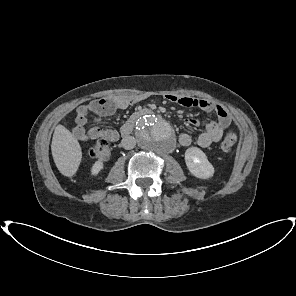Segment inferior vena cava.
Listing matches in <instances>:
<instances>
[{
    "label": "inferior vena cava",
    "mask_w": 296,
    "mask_h": 296,
    "mask_svg": "<svg viewBox=\"0 0 296 296\" xmlns=\"http://www.w3.org/2000/svg\"><path fill=\"white\" fill-rule=\"evenodd\" d=\"M122 147L126 150L133 149L136 145V140L132 136H126L121 141Z\"/></svg>",
    "instance_id": "602c4592"
}]
</instances>
